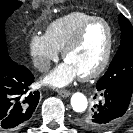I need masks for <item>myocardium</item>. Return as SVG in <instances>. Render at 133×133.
<instances>
[{
  "label": "myocardium",
  "mask_w": 133,
  "mask_h": 133,
  "mask_svg": "<svg viewBox=\"0 0 133 133\" xmlns=\"http://www.w3.org/2000/svg\"><path fill=\"white\" fill-rule=\"evenodd\" d=\"M101 22L103 23L108 31V40H107V47L105 50V54L99 63V65L90 73H87L85 75L78 76L81 81H89L92 79L97 78L100 76L105 69L107 68L112 54L113 49V42H114V32L111 24L102 17H92L91 19L87 20L75 33V35L71 38V40L64 46L62 49V58L66 60L67 55L75 49L83 39L87 29L94 23Z\"/></svg>",
  "instance_id": "f54148a6"
}]
</instances>
